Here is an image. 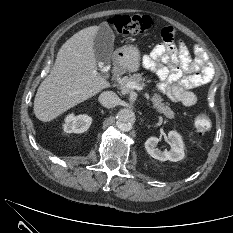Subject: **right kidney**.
Instances as JSON below:
<instances>
[{
  "label": "right kidney",
  "instance_id": "1",
  "mask_svg": "<svg viewBox=\"0 0 233 233\" xmlns=\"http://www.w3.org/2000/svg\"><path fill=\"white\" fill-rule=\"evenodd\" d=\"M92 123V118L86 114L75 116L69 114L65 118L63 129L66 133H83Z\"/></svg>",
  "mask_w": 233,
  "mask_h": 233
}]
</instances>
